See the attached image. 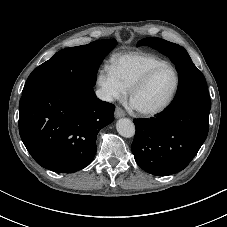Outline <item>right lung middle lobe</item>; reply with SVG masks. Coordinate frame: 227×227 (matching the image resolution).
I'll use <instances>...</instances> for the list:
<instances>
[{"mask_svg":"<svg viewBox=\"0 0 227 227\" xmlns=\"http://www.w3.org/2000/svg\"><path fill=\"white\" fill-rule=\"evenodd\" d=\"M116 46V40L104 39L57 52L29 75L22 94L55 85L93 88L104 57Z\"/></svg>","mask_w":227,"mask_h":227,"instance_id":"obj_1","label":"right lung middle lobe"}]
</instances>
